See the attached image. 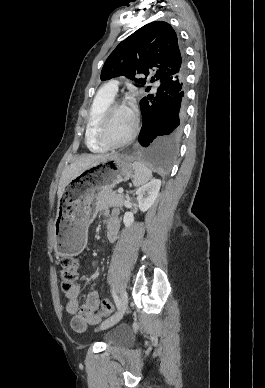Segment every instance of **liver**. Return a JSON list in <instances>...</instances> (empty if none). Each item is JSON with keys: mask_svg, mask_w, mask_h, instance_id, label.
Instances as JSON below:
<instances>
[{"mask_svg": "<svg viewBox=\"0 0 265 388\" xmlns=\"http://www.w3.org/2000/svg\"><path fill=\"white\" fill-rule=\"evenodd\" d=\"M107 156H112V154H98V156H86V158H80L77 162H72L68 168H65L62 172V176L60 178L59 186H58V198H62L64 194V190L66 186H68L71 180H74L76 176H79L81 172L87 170V168H91L94 164H97L98 160L101 158H107Z\"/></svg>", "mask_w": 265, "mask_h": 388, "instance_id": "6515ba94", "label": "liver"}]
</instances>
